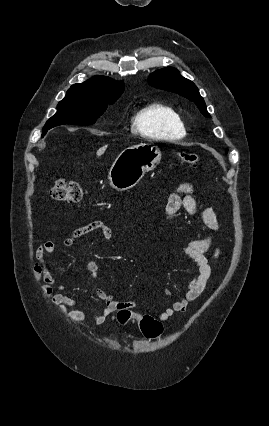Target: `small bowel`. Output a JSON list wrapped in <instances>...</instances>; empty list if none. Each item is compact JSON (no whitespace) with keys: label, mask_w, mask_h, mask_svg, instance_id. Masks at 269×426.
Wrapping results in <instances>:
<instances>
[{"label":"small bowel","mask_w":269,"mask_h":426,"mask_svg":"<svg viewBox=\"0 0 269 426\" xmlns=\"http://www.w3.org/2000/svg\"><path fill=\"white\" fill-rule=\"evenodd\" d=\"M182 209L208 227L213 234L206 238L189 240L182 246V252L195 262L197 269L191 275L184 297L174 301L165 310L155 314V317L161 322L168 321L175 314L185 312L188 306L201 296L213 276V268L206 254L212 249L214 234L220 230L218 217L210 208H199L194 197V187L191 183L180 185L176 192L168 197L166 213L169 217H175ZM93 231H100L104 240H110L113 236V231L109 226L101 221H93L85 226L74 229L63 240V245L71 247L77 239ZM54 250L55 244L52 241H46L37 248L34 276L36 280L43 281L42 291L51 302L62 311H66L69 308L77 306L79 301L76 297L63 293L65 286L56 281L46 264V256L52 254ZM219 254L220 250L218 248L214 249L213 258L216 260ZM86 270L92 278H96L99 274V266L95 261H89L86 264ZM96 294L104 302L102 309L98 312L82 310L77 314L78 316L89 314L96 324H103L111 314L119 309H132L137 306L131 300H117L101 288L96 289ZM142 316L140 313H134L132 318L139 322Z\"/></svg>","instance_id":"obj_1"}]
</instances>
